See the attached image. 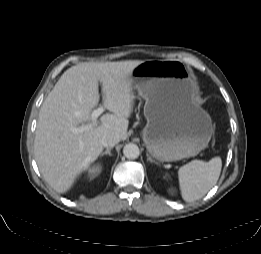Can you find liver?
I'll return each instance as SVG.
<instances>
[{
  "instance_id": "obj_1",
  "label": "liver",
  "mask_w": 261,
  "mask_h": 254,
  "mask_svg": "<svg viewBox=\"0 0 261 254\" xmlns=\"http://www.w3.org/2000/svg\"><path fill=\"white\" fill-rule=\"evenodd\" d=\"M143 61L83 62L67 69L44 100L34 140L35 160L45 181L58 193L67 192L75 179L97 160L104 137L127 138L134 104L130 76ZM104 114L93 124L99 103ZM84 127V130L75 131Z\"/></svg>"
}]
</instances>
